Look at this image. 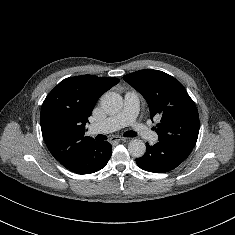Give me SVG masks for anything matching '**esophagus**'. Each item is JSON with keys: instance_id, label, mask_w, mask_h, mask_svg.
<instances>
[{"instance_id": "esophagus-1", "label": "esophagus", "mask_w": 235, "mask_h": 235, "mask_svg": "<svg viewBox=\"0 0 235 235\" xmlns=\"http://www.w3.org/2000/svg\"><path fill=\"white\" fill-rule=\"evenodd\" d=\"M120 141H126V138L121 137V136H113L109 139V142L112 143V144H116Z\"/></svg>"}]
</instances>
